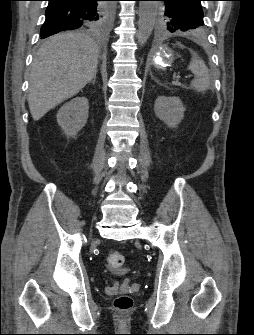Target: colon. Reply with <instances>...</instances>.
Listing matches in <instances>:
<instances>
[{
	"mask_svg": "<svg viewBox=\"0 0 254 335\" xmlns=\"http://www.w3.org/2000/svg\"><path fill=\"white\" fill-rule=\"evenodd\" d=\"M107 262L110 269L119 271L125 263V256L120 251H110L107 256ZM114 306L121 312L129 311L133 306V300L130 296L121 295L114 300Z\"/></svg>",
	"mask_w": 254,
	"mask_h": 335,
	"instance_id": "colon-1",
	"label": "colon"
}]
</instances>
